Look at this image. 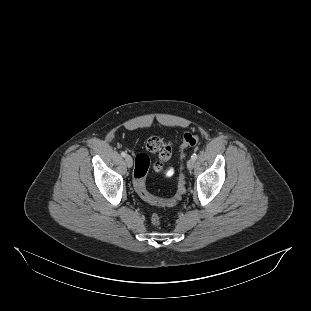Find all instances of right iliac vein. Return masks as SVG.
Masks as SVG:
<instances>
[{"label":"right iliac vein","mask_w":311,"mask_h":311,"mask_svg":"<svg viewBox=\"0 0 311 311\" xmlns=\"http://www.w3.org/2000/svg\"><path fill=\"white\" fill-rule=\"evenodd\" d=\"M125 163H126L127 167L131 168L132 165H133V159H132V157L129 156V155H126V156H125Z\"/></svg>","instance_id":"63e3f726"}]
</instances>
